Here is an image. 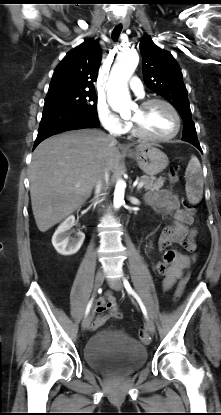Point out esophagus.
I'll list each match as a JSON object with an SVG mask.
<instances>
[{
	"label": "esophagus",
	"mask_w": 221,
	"mask_h": 415,
	"mask_svg": "<svg viewBox=\"0 0 221 415\" xmlns=\"http://www.w3.org/2000/svg\"><path fill=\"white\" fill-rule=\"evenodd\" d=\"M119 22L123 25L124 28H127L130 24V20L128 18H122Z\"/></svg>",
	"instance_id": "obj_1"
}]
</instances>
